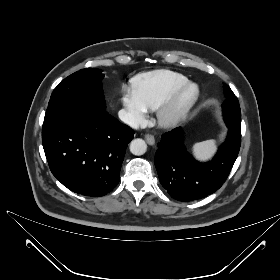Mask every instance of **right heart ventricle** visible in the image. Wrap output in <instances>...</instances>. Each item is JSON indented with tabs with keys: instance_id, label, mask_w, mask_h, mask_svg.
Returning <instances> with one entry per match:
<instances>
[{
	"instance_id": "obj_1",
	"label": "right heart ventricle",
	"mask_w": 280,
	"mask_h": 280,
	"mask_svg": "<svg viewBox=\"0 0 280 280\" xmlns=\"http://www.w3.org/2000/svg\"><path fill=\"white\" fill-rule=\"evenodd\" d=\"M187 82L185 75L167 69L143 72L131 80L132 90L146 110L157 109L176 88Z\"/></svg>"
}]
</instances>
